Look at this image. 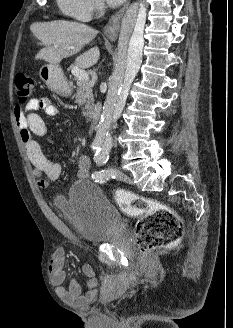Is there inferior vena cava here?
<instances>
[{
	"mask_svg": "<svg viewBox=\"0 0 233 328\" xmlns=\"http://www.w3.org/2000/svg\"><path fill=\"white\" fill-rule=\"evenodd\" d=\"M96 8L99 11V15H103L104 14V8H105L104 4L99 3Z\"/></svg>",
	"mask_w": 233,
	"mask_h": 328,
	"instance_id": "obj_1",
	"label": "inferior vena cava"
}]
</instances>
